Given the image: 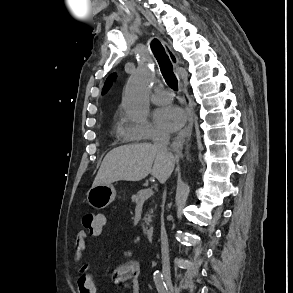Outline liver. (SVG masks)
<instances>
[{
	"mask_svg": "<svg viewBox=\"0 0 293 293\" xmlns=\"http://www.w3.org/2000/svg\"><path fill=\"white\" fill-rule=\"evenodd\" d=\"M175 159L160 153L150 143L131 144L111 150L103 159L92 187L117 181H140L152 174L166 181L174 170Z\"/></svg>",
	"mask_w": 293,
	"mask_h": 293,
	"instance_id": "obj_1",
	"label": "liver"
}]
</instances>
